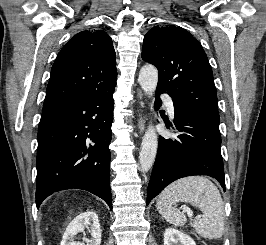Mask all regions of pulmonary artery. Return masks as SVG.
I'll list each match as a JSON object with an SVG mask.
<instances>
[{"label": "pulmonary artery", "mask_w": 266, "mask_h": 245, "mask_svg": "<svg viewBox=\"0 0 266 245\" xmlns=\"http://www.w3.org/2000/svg\"><path fill=\"white\" fill-rule=\"evenodd\" d=\"M165 105H166V108H167V111L169 113V115L173 118L174 117V104H173V101L168 98L165 100Z\"/></svg>", "instance_id": "pulmonary-artery-1"}]
</instances>
